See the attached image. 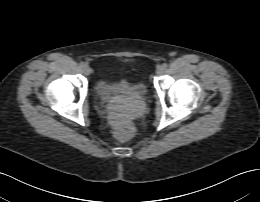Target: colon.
<instances>
[{
	"instance_id": "1",
	"label": "colon",
	"mask_w": 260,
	"mask_h": 202,
	"mask_svg": "<svg viewBox=\"0 0 260 202\" xmlns=\"http://www.w3.org/2000/svg\"><path fill=\"white\" fill-rule=\"evenodd\" d=\"M111 124L114 127V136L118 140H126L130 137V130L126 119L120 114L111 116Z\"/></svg>"
}]
</instances>
